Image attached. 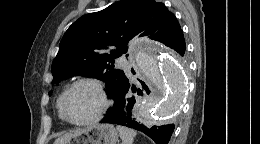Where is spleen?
I'll return each mask as SVG.
<instances>
[{
    "label": "spleen",
    "instance_id": "3e777b00",
    "mask_svg": "<svg viewBox=\"0 0 260 144\" xmlns=\"http://www.w3.org/2000/svg\"><path fill=\"white\" fill-rule=\"evenodd\" d=\"M116 128L119 132L122 144H133L134 138L137 134L134 130L120 125H118Z\"/></svg>",
    "mask_w": 260,
    "mask_h": 144
}]
</instances>
